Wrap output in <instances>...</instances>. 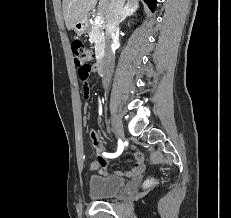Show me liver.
I'll list each match as a JSON object with an SVG mask.
<instances>
[{
	"label": "liver",
	"instance_id": "6515ba94",
	"mask_svg": "<svg viewBox=\"0 0 231 218\" xmlns=\"http://www.w3.org/2000/svg\"><path fill=\"white\" fill-rule=\"evenodd\" d=\"M111 0H100L98 13L100 16L107 18L110 10ZM130 7L138 8V0H127ZM97 0H63V16L68 30L73 29V25L87 17L89 11L95 8Z\"/></svg>",
	"mask_w": 231,
	"mask_h": 218
}]
</instances>
